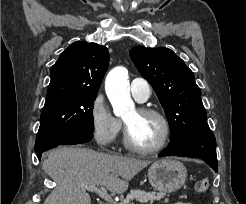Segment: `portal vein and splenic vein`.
<instances>
[{
    "label": "portal vein and splenic vein",
    "instance_id": "1",
    "mask_svg": "<svg viewBox=\"0 0 246 204\" xmlns=\"http://www.w3.org/2000/svg\"><path fill=\"white\" fill-rule=\"evenodd\" d=\"M86 189L91 192L97 193L104 200L108 201L111 204H120L112 199V197L108 194L107 189L104 186L97 187L95 185H88Z\"/></svg>",
    "mask_w": 246,
    "mask_h": 204
}]
</instances>
